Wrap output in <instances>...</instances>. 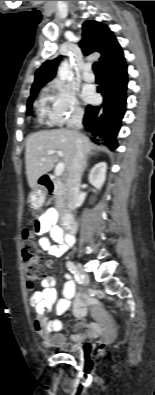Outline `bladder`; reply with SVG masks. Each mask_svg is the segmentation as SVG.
Returning <instances> with one entry per match:
<instances>
[{"label":"bladder","mask_w":155,"mask_h":395,"mask_svg":"<svg viewBox=\"0 0 155 395\" xmlns=\"http://www.w3.org/2000/svg\"><path fill=\"white\" fill-rule=\"evenodd\" d=\"M87 346H89V344H86ZM64 350L69 353V354H77L79 352V349L76 345H66L64 347Z\"/></svg>","instance_id":"bladder-1"}]
</instances>
